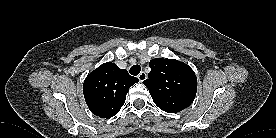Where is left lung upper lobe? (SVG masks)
I'll return each mask as SVG.
<instances>
[{
    "instance_id": "obj_1",
    "label": "left lung upper lobe",
    "mask_w": 276,
    "mask_h": 138,
    "mask_svg": "<svg viewBox=\"0 0 276 138\" xmlns=\"http://www.w3.org/2000/svg\"><path fill=\"white\" fill-rule=\"evenodd\" d=\"M149 66L151 72L143 84L161 110L176 113L193 102L197 78L187 64L174 59L155 58L149 62Z\"/></svg>"
}]
</instances>
